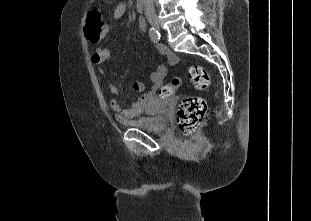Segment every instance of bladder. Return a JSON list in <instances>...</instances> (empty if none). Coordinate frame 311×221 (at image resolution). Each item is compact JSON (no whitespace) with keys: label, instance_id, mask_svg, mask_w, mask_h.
<instances>
[{"label":"bladder","instance_id":"1","mask_svg":"<svg viewBox=\"0 0 311 221\" xmlns=\"http://www.w3.org/2000/svg\"><path fill=\"white\" fill-rule=\"evenodd\" d=\"M168 100L158 102L154 108H146V113L130 121V124L146 133H161L170 124Z\"/></svg>","mask_w":311,"mask_h":221}]
</instances>
